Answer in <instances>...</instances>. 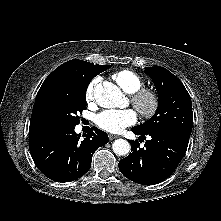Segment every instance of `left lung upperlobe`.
<instances>
[{"label": "left lung upper lobe", "instance_id": "left-lung-upper-lobe-1", "mask_svg": "<svg viewBox=\"0 0 221 221\" xmlns=\"http://www.w3.org/2000/svg\"><path fill=\"white\" fill-rule=\"evenodd\" d=\"M144 72L157 88L159 104L151 119L133 128L142 134L167 132L189 138L193 126L192 104L182 82L160 66L146 67Z\"/></svg>", "mask_w": 221, "mask_h": 221}]
</instances>
